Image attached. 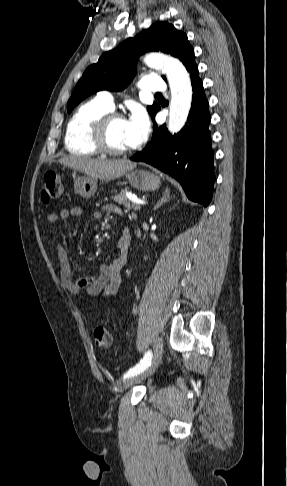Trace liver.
<instances>
[{
  "mask_svg": "<svg viewBox=\"0 0 287 486\" xmlns=\"http://www.w3.org/2000/svg\"><path fill=\"white\" fill-rule=\"evenodd\" d=\"M64 166L79 170L90 177L111 180L121 177L134 169L136 163L127 159L95 160L80 156H67L59 159Z\"/></svg>",
  "mask_w": 287,
  "mask_h": 486,
  "instance_id": "6515ba94",
  "label": "liver"
}]
</instances>
